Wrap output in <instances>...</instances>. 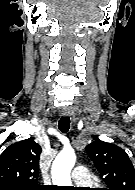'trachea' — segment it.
<instances>
[{"label": "trachea", "mask_w": 135, "mask_h": 190, "mask_svg": "<svg viewBox=\"0 0 135 190\" xmlns=\"http://www.w3.org/2000/svg\"><path fill=\"white\" fill-rule=\"evenodd\" d=\"M70 128V118L69 117H61L59 120V129L62 133L68 132Z\"/></svg>", "instance_id": "trachea-1"}]
</instances>
